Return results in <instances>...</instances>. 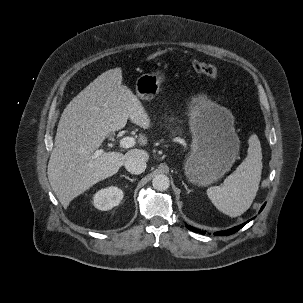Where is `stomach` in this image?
<instances>
[{"label": "stomach", "instance_id": "obj_1", "mask_svg": "<svg viewBox=\"0 0 303 303\" xmlns=\"http://www.w3.org/2000/svg\"><path fill=\"white\" fill-rule=\"evenodd\" d=\"M165 78L162 70L141 75L136 81L137 96L146 101L153 99ZM188 110L192 144L184 171L191 183L207 186L231 169L240 151V140L232 113L206 95L192 97Z\"/></svg>", "mask_w": 303, "mask_h": 303}]
</instances>
